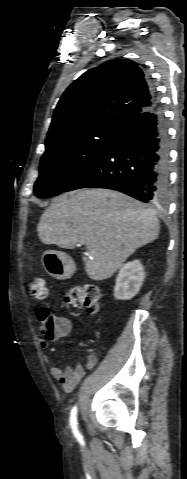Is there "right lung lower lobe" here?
<instances>
[{
	"label": "right lung lower lobe",
	"mask_w": 187,
	"mask_h": 479,
	"mask_svg": "<svg viewBox=\"0 0 187 479\" xmlns=\"http://www.w3.org/2000/svg\"><path fill=\"white\" fill-rule=\"evenodd\" d=\"M153 93L155 90L147 79ZM169 185L168 134L162 108L156 104L132 118L106 150L64 192L108 188L145 203L165 199Z\"/></svg>",
	"instance_id": "98d812e1"
}]
</instances>
